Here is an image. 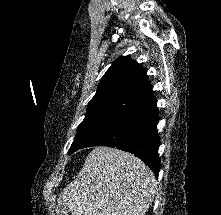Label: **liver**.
Returning <instances> with one entry per match:
<instances>
[{
    "label": "liver",
    "instance_id": "6515ba94",
    "mask_svg": "<svg viewBox=\"0 0 221 215\" xmlns=\"http://www.w3.org/2000/svg\"><path fill=\"white\" fill-rule=\"evenodd\" d=\"M152 171L131 153L95 147L57 199L72 215H144L153 202Z\"/></svg>",
    "mask_w": 221,
    "mask_h": 215
}]
</instances>
